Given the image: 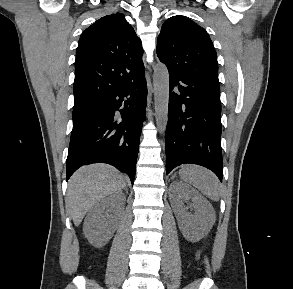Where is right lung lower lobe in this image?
<instances>
[{"label":"right lung lower lobe","instance_id":"right-lung-lower-lobe-1","mask_svg":"<svg viewBox=\"0 0 293 289\" xmlns=\"http://www.w3.org/2000/svg\"><path fill=\"white\" fill-rule=\"evenodd\" d=\"M146 95L143 75L133 84L73 111L67 180L85 164L107 163L126 172L133 184Z\"/></svg>","mask_w":293,"mask_h":289}]
</instances>
